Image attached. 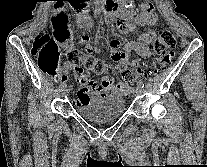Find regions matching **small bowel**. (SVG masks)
<instances>
[{"label":"small bowel","instance_id":"small-bowel-1","mask_svg":"<svg viewBox=\"0 0 207 167\" xmlns=\"http://www.w3.org/2000/svg\"><path fill=\"white\" fill-rule=\"evenodd\" d=\"M71 4L70 9H73V13H80L84 9H88V5H83L84 1H71ZM156 21L157 16L153 11L152 5L145 4L143 5L142 12L135 19L128 22L127 18L120 17L117 21V26L122 33L126 34L144 24L153 25ZM82 24L86 25V21H83ZM156 36L157 33L154 30L145 31L135 41H129L122 46L118 42L113 41L109 48H105L102 44V39L104 38L103 32L96 38H90L84 32L80 37V42L98 53L109 51L113 59L117 62V66L114 69H120L126 65L137 66L141 63L142 59L153 56L154 52L149 45L155 40ZM130 51H136L139 58L134 61H129L126 53ZM72 71H78V80L80 82V88L75 99L77 105L85 104L94 97L108 95L123 96L133 91L132 86H126L111 77H103L97 83L89 78L87 72H84L82 69H75L68 64H65L61 70L60 80L64 84L67 82L69 74Z\"/></svg>","mask_w":207,"mask_h":167}]
</instances>
